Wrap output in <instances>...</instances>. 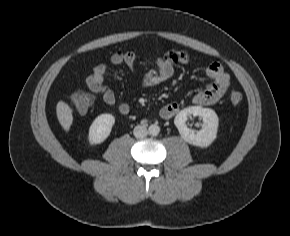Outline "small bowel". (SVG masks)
<instances>
[{"instance_id": "small-bowel-1", "label": "small bowel", "mask_w": 290, "mask_h": 236, "mask_svg": "<svg viewBox=\"0 0 290 236\" xmlns=\"http://www.w3.org/2000/svg\"><path fill=\"white\" fill-rule=\"evenodd\" d=\"M113 65H125L130 70L137 68V56L134 52L114 53L111 56ZM190 56L184 51H169L164 56L156 60V68L149 70L141 80L142 87H152L168 80L174 73L177 64L185 65L189 62ZM207 74L212 79L203 90L193 96V103L198 106H208L217 103L231 85V78L225 71L223 65L218 62L210 64ZM109 75V68L105 64L97 65L93 72L86 78V85L89 90L102 97L103 102L108 106H114L116 98L105 82ZM177 103H168L159 110V117L163 120L173 118L179 112ZM129 106L125 103L118 106V111L122 115L129 113Z\"/></svg>"}]
</instances>
